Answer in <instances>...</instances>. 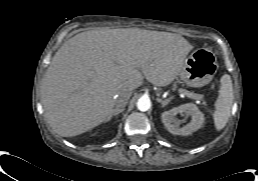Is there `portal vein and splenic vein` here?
<instances>
[{
    "label": "portal vein and splenic vein",
    "instance_id": "portal-vein-and-splenic-vein-1",
    "mask_svg": "<svg viewBox=\"0 0 258 181\" xmlns=\"http://www.w3.org/2000/svg\"><path fill=\"white\" fill-rule=\"evenodd\" d=\"M178 92L185 95L186 97H189V98H192V99H197V97H198L197 94H194V93L189 92V91L184 90V89H179Z\"/></svg>",
    "mask_w": 258,
    "mask_h": 181
}]
</instances>
